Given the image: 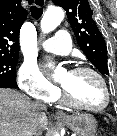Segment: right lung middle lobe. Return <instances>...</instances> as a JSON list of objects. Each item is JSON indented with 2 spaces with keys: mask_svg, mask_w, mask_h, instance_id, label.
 Listing matches in <instances>:
<instances>
[{
  "mask_svg": "<svg viewBox=\"0 0 117 136\" xmlns=\"http://www.w3.org/2000/svg\"><path fill=\"white\" fill-rule=\"evenodd\" d=\"M18 57H0V82H16V65Z\"/></svg>",
  "mask_w": 117,
  "mask_h": 136,
  "instance_id": "right-lung-middle-lobe-1",
  "label": "right lung middle lobe"
}]
</instances>
